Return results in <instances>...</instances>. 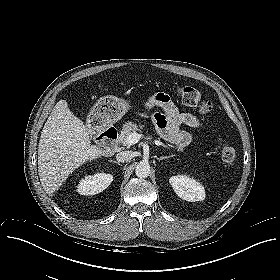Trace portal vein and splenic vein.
I'll return each instance as SVG.
<instances>
[{
  "label": "portal vein and splenic vein",
  "mask_w": 280,
  "mask_h": 280,
  "mask_svg": "<svg viewBox=\"0 0 280 280\" xmlns=\"http://www.w3.org/2000/svg\"><path fill=\"white\" fill-rule=\"evenodd\" d=\"M142 138V134H138L136 132L130 133L126 138V143L129 145H134L138 143V141Z\"/></svg>",
  "instance_id": "18ae733b"
}]
</instances>
